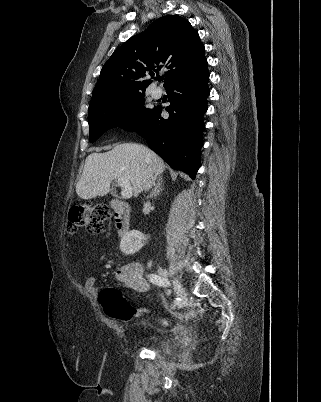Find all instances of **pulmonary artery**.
Wrapping results in <instances>:
<instances>
[{"mask_svg":"<svg viewBox=\"0 0 321 402\" xmlns=\"http://www.w3.org/2000/svg\"><path fill=\"white\" fill-rule=\"evenodd\" d=\"M152 96L154 98H159L161 96V93L159 91H153Z\"/></svg>","mask_w":321,"mask_h":402,"instance_id":"pulmonary-artery-1","label":"pulmonary artery"}]
</instances>
